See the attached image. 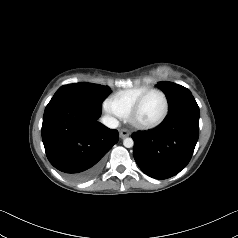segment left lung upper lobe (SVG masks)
Masks as SVG:
<instances>
[{"mask_svg": "<svg viewBox=\"0 0 238 238\" xmlns=\"http://www.w3.org/2000/svg\"><path fill=\"white\" fill-rule=\"evenodd\" d=\"M157 87L161 88L167 93L170 101V107L176 105L187 97H193L187 88L174 83L162 82L158 83Z\"/></svg>", "mask_w": 238, "mask_h": 238, "instance_id": "left-lung-upper-lobe-1", "label": "left lung upper lobe"}]
</instances>
